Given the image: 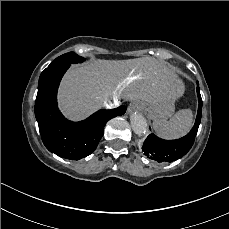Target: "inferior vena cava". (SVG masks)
<instances>
[{
    "label": "inferior vena cava",
    "instance_id": "1",
    "mask_svg": "<svg viewBox=\"0 0 229 229\" xmlns=\"http://www.w3.org/2000/svg\"><path fill=\"white\" fill-rule=\"evenodd\" d=\"M114 100V102H111L110 100H108V101H105L104 103H103V106L105 107V108H107V109H112V108H114L117 104V98H114L113 99Z\"/></svg>",
    "mask_w": 229,
    "mask_h": 229
}]
</instances>
